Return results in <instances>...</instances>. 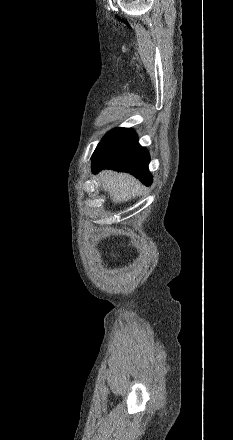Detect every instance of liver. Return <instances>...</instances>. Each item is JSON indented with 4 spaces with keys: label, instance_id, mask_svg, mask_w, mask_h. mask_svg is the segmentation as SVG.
<instances>
[{
    "label": "liver",
    "instance_id": "liver-1",
    "mask_svg": "<svg viewBox=\"0 0 233 440\" xmlns=\"http://www.w3.org/2000/svg\"><path fill=\"white\" fill-rule=\"evenodd\" d=\"M102 190L108 191L114 203H121L135 198L141 190L140 182L126 173L105 170L99 173Z\"/></svg>",
    "mask_w": 233,
    "mask_h": 440
}]
</instances>
